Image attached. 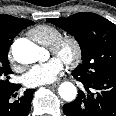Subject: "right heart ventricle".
I'll use <instances>...</instances> for the list:
<instances>
[{
    "mask_svg": "<svg viewBox=\"0 0 116 116\" xmlns=\"http://www.w3.org/2000/svg\"><path fill=\"white\" fill-rule=\"evenodd\" d=\"M30 37L44 46H51L62 37V32L55 26L40 24L29 30Z\"/></svg>",
    "mask_w": 116,
    "mask_h": 116,
    "instance_id": "1",
    "label": "right heart ventricle"
}]
</instances>
